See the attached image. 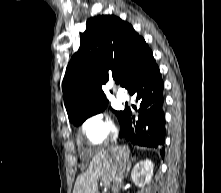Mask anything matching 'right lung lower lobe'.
I'll return each mask as SVG.
<instances>
[{
  "instance_id": "98d812e1",
  "label": "right lung lower lobe",
  "mask_w": 221,
  "mask_h": 193,
  "mask_svg": "<svg viewBox=\"0 0 221 193\" xmlns=\"http://www.w3.org/2000/svg\"><path fill=\"white\" fill-rule=\"evenodd\" d=\"M163 86L159 68L153 60L133 78L128 88V92L139 100L138 118L127 108L120 124V137L140 146L159 148L162 157L165 151Z\"/></svg>"
}]
</instances>
